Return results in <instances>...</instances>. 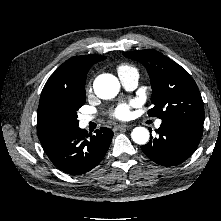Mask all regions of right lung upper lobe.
I'll return each mask as SVG.
<instances>
[{
    "label": "right lung upper lobe",
    "instance_id": "right-lung-upper-lobe-1",
    "mask_svg": "<svg viewBox=\"0 0 221 221\" xmlns=\"http://www.w3.org/2000/svg\"><path fill=\"white\" fill-rule=\"evenodd\" d=\"M105 58V56L100 55L75 56L64 62L50 76L42 90L38 108L37 133L41 144L61 134L49 129L42 121L40 111L43 102L55 94H81L85 92L84 87L89 69Z\"/></svg>",
    "mask_w": 221,
    "mask_h": 221
}]
</instances>
